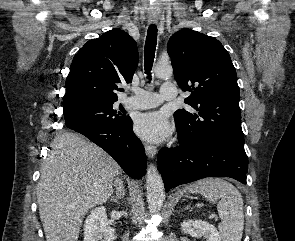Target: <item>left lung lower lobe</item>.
<instances>
[{"instance_id": "left-lung-lower-lobe-1", "label": "left lung lower lobe", "mask_w": 295, "mask_h": 241, "mask_svg": "<svg viewBox=\"0 0 295 241\" xmlns=\"http://www.w3.org/2000/svg\"><path fill=\"white\" fill-rule=\"evenodd\" d=\"M176 148H162L157 163L165 189L205 177H231L246 184L248 158L244 148L222 141L184 143Z\"/></svg>"}]
</instances>
